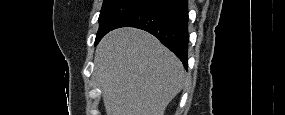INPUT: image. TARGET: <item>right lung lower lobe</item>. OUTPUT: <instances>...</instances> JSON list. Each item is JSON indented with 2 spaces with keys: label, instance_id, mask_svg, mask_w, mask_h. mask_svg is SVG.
Instances as JSON below:
<instances>
[{
  "label": "right lung lower lobe",
  "instance_id": "obj_1",
  "mask_svg": "<svg viewBox=\"0 0 285 115\" xmlns=\"http://www.w3.org/2000/svg\"><path fill=\"white\" fill-rule=\"evenodd\" d=\"M120 27H136L153 34L174 52L187 69V0H152L123 18L113 29Z\"/></svg>",
  "mask_w": 285,
  "mask_h": 115
}]
</instances>
